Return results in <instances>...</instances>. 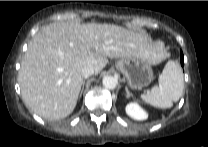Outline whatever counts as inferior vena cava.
Instances as JSON below:
<instances>
[{"mask_svg":"<svg viewBox=\"0 0 208 147\" xmlns=\"http://www.w3.org/2000/svg\"><path fill=\"white\" fill-rule=\"evenodd\" d=\"M95 70L92 66H85L81 70V75L83 78H88L89 76L93 75Z\"/></svg>","mask_w":208,"mask_h":147,"instance_id":"602c4592","label":"inferior vena cava"}]
</instances>
